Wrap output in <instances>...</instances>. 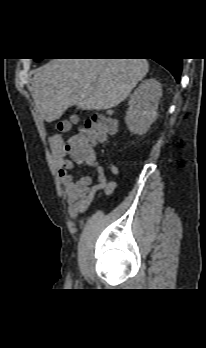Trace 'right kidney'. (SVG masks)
<instances>
[{
  "label": "right kidney",
  "mask_w": 206,
  "mask_h": 348,
  "mask_svg": "<svg viewBox=\"0 0 206 348\" xmlns=\"http://www.w3.org/2000/svg\"><path fill=\"white\" fill-rule=\"evenodd\" d=\"M161 84L156 79L142 81L129 99L125 122L133 134L146 133L156 120Z\"/></svg>",
  "instance_id": "1"
}]
</instances>
